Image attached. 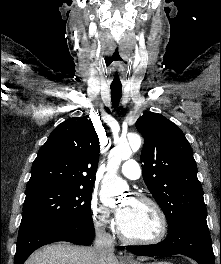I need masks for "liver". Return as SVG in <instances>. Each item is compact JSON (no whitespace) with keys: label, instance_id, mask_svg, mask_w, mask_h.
<instances>
[{"label":"liver","instance_id":"1","mask_svg":"<svg viewBox=\"0 0 221 264\" xmlns=\"http://www.w3.org/2000/svg\"><path fill=\"white\" fill-rule=\"evenodd\" d=\"M24 264H119V262L115 256L102 262L95 253L94 247L60 243L39 249Z\"/></svg>","mask_w":221,"mask_h":264}]
</instances>
